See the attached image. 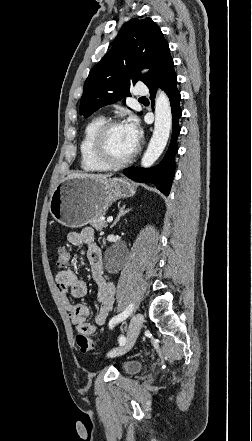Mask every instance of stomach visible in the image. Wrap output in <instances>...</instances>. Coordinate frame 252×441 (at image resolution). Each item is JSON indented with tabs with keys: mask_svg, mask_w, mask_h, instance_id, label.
Listing matches in <instances>:
<instances>
[{
	"mask_svg": "<svg viewBox=\"0 0 252 441\" xmlns=\"http://www.w3.org/2000/svg\"><path fill=\"white\" fill-rule=\"evenodd\" d=\"M135 193V186L122 177L66 178L52 193L49 210L56 222L78 228L103 215L116 200L132 197Z\"/></svg>",
	"mask_w": 252,
	"mask_h": 441,
	"instance_id": "obj_1",
	"label": "stomach"
}]
</instances>
